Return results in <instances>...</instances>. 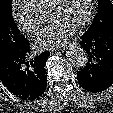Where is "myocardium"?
Masks as SVG:
<instances>
[{
    "label": "myocardium",
    "instance_id": "myocardium-1",
    "mask_svg": "<svg viewBox=\"0 0 113 113\" xmlns=\"http://www.w3.org/2000/svg\"><path fill=\"white\" fill-rule=\"evenodd\" d=\"M59 2H60V0H52L49 3L48 8L46 10L47 17L53 11V9L57 6V4ZM94 6H95V0H88L87 14L84 17V19L75 26L76 30H80L90 24V22L92 21L93 16H94V10H95Z\"/></svg>",
    "mask_w": 113,
    "mask_h": 113
}]
</instances>
